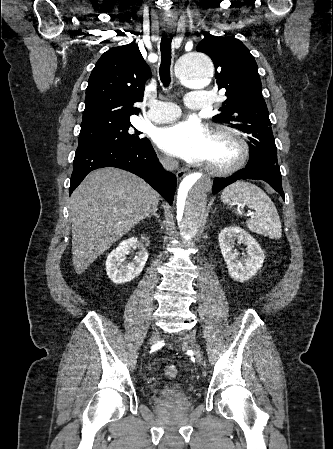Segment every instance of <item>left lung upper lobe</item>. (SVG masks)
Masks as SVG:
<instances>
[{
	"mask_svg": "<svg viewBox=\"0 0 333 449\" xmlns=\"http://www.w3.org/2000/svg\"><path fill=\"white\" fill-rule=\"evenodd\" d=\"M196 50L212 59L219 90H226L222 112L213 119L227 123L249 141L248 166H278L258 67L249 49L236 38L205 33Z\"/></svg>",
	"mask_w": 333,
	"mask_h": 449,
	"instance_id": "5c2ea615",
	"label": "left lung upper lobe"
}]
</instances>
